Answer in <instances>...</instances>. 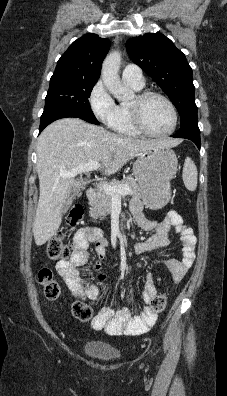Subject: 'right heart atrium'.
I'll return each instance as SVG.
<instances>
[{"label":"right heart atrium","instance_id":"1","mask_svg":"<svg viewBox=\"0 0 227 396\" xmlns=\"http://www.w3.org/2000/svg\"><path fill=\"white\" fill-rule=\"evenodd\" d=\"M88 101L94 116L99 121L108 124L115 113L116 103L103 81L99 80L95 83L90 91Z\"/></svg>","mask_w":227,"mask_h":396}]
</instances>
